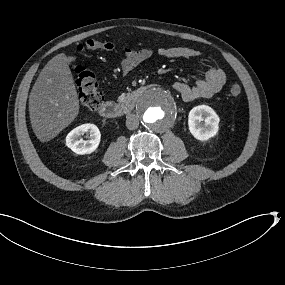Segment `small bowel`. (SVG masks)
I'll return each instance as SVG.
<instances>
[{"label":"small bowel","mask_w":285,"mask_h":285,"mask_svg":"<svg viewBox=\"0 0 285 285\" xmlns=\"http://www.w3.org/2000/svg\"><path fill=\"white\" fill-rule=\"evenodd\" d=\"M156 53L167 59H191L202 56V53L194 48L175 46L159 48ZM154 51L150 48L125 49L120 59V69L123 74H129L136 67L152 57ZM226 83V75L218 66L210 67L203 77L199 78L194 85L185 82H176L174 90L184 101L210 98L217 94Z\"/></svg>","instance_id":"1"}]
</instances>
